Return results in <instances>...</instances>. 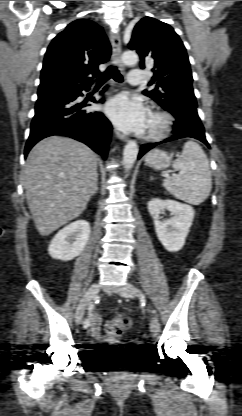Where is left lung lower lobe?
I'll list each match as a JSON object with an SVG mask.
<instances>
[{"instance_id":"0a47b994","label":"left lung lower lobe","mask_w":242,"mask_h":416,"mask_svg":"<svg viewBox=\"0 0 242 416\" xmlns=\"http://www.w3.org/2000/svg\"><path fill=\"white\" fill-rule=\"evenodd\" d=\"M173 128H174V131H173L174 135L171 136L170 138H167L161 142L142 145L140 148V153L138 155V158H141L146 152H148L150 149H152L153 147L161 143L174 141V140L181 139L184 137L195 138L197 140H200L201 142H203L209 147V144L205 138L204 128L196 121L195 117H189L188 119H185V120H176Z\"/></svg>"}]
</instances>
